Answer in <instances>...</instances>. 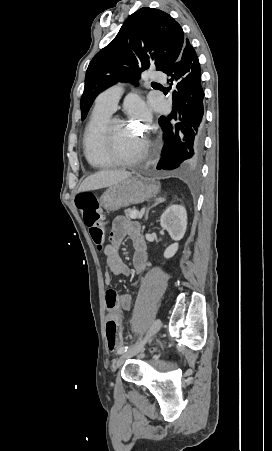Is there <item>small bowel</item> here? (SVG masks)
I'll use <instances>...</instances> for the list:
<instances>
[{"label":"small bowel","mask_w":272,"mask_h":451,"mask_svg":"<svg viewBox=\"0 0 272 451\" xmlns=\"http://www.w3.org/2000/svg\"><path fill=\"white\" fill-rule=\"evenodd\" d=\"M109 243L103 247L106 256L107 271L104 274V281L110 284L112 275L139 274L150 267L149 256L146 243L142 237L141 225L134 220L124 217H117L108 228ZM128 236L133 244L135 252L132 257V270L126 265L119 253V246L123 239ZM105 305L108 315L114 317L119 323V334L122 330L123 311H130L133 307V298L129 294H118L115 290H108L105 295Z\"/></svg>","instance_id":"small-bowel-1"}]
</instances>
